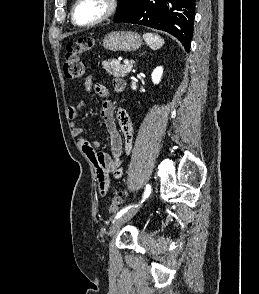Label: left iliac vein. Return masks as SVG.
I'll return each mask as SVG.
<instances>
[{
	"label": "left iliac vein",
	"mask_w": 259,
	"mask_h": 294,
	"mask_svg": "<svg viewBox=\"0 0 259 294\" xmlns=\"http://www.w3.org/2000/svg\"><path fill=\"white\" fill-rule=\"evenodd\" d=\"M142 203L136 207H132L121 217L117 218L110 226L108 231V236H113L125 223H127L141 208Z\"/></svg>",
	"instance_id": "1"
}]
</instances>
